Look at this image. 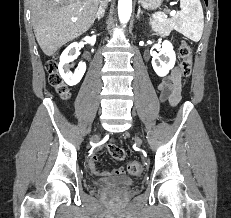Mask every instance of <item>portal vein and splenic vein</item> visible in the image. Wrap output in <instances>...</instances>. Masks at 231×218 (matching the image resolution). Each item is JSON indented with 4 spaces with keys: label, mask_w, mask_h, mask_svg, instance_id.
<instances>
[{
    "label": "portal vein and splenic vein",
    "mask_w": 231,
    "mask_h": 218,
    "mask_svg": "<svg viewBox=\"0 0 231 218\" xmlns=\"http://www.w3.org/2000/svg\"><path fill=\"white\" fill-rule=\"evenodd\" d=\"M175 14H176V11H175V10H172V11L170 12V15H171V16H174ZM72 21L75 22V21H77V19H76V18H72Z\"/></svg>",
    "instance_id": "18ae733b"
}]
</instances>
